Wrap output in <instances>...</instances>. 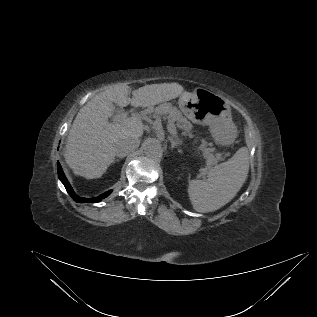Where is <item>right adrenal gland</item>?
Here are the masks:
<instances>
[{"label": "right adrenal gland", "instance_id": "obj_1", "mask_svg": "<svg viewBox=\"0 0 317 317\" xmlns=\"http://www.w3.org/2000/svg\"><path fill=\"white\" fill-rule=\"evenodd\" d=\"M120 159H122V158L120 157V158L114 160L112 164H114L115 162L119 161Z\"/></svg>", "mask_w": 317, "mask_h": 317}]
</instances>
